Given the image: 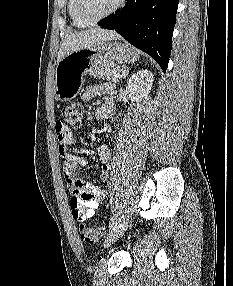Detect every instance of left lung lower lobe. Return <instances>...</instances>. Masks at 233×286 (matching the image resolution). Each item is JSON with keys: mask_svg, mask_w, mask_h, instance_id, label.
<instances>
[{"mask_svg": "<svg viewBox=\"0 0 233 286\" xmlns=\"http://www.w3.org/2000/svg\"><path fill=\"white\" fill-rule=\"evenodd\" d=\"M178 0H127L122 10L98 22L151 55L165 72L172 46Z\"/></svg>", "mask_w": 233, "mask_h": 286, "instance_id": "1", "label": "left lung lower lobe"}]
</instances>
